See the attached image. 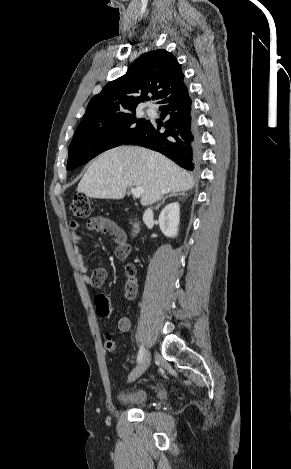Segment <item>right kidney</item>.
Instances as JSON below:
<instances>
[{
  "label": "right kidney",
  "instance_id": "right-kidney-1",
  "mask_svg": "<svg viewBox=\"0 0 291 469\" xmlns=\"http://www.w3.org/2000/svg\"><path fill=\"white\" fill-rule=\"evenodd\" d=\"M180 205L177 202L168 204L159 215V226L167 237H175L178 233Z\"/></svg>",
  "mask_w": 291,
  "mask_h": 469
}]
</instances>
